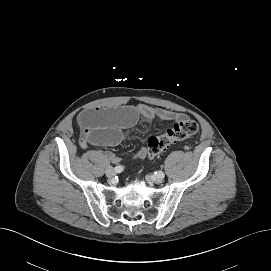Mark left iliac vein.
<instances>
[{"mask_svg": "<svg viewBox=\"0 0 271 271\" xmlns=\"http://www.w3.org/2000/svg\"><path fill=\"white\" fill-rule=\"evenodd\" d=\"M154 183L160 184L163 181L162 177L155 176L151 178Z\"/></svg>", "mask_w": 271, "mask_h": 271, "instance_id": "left-iliac-vein-1", "label": "left iliac vein"}]
</instances>
